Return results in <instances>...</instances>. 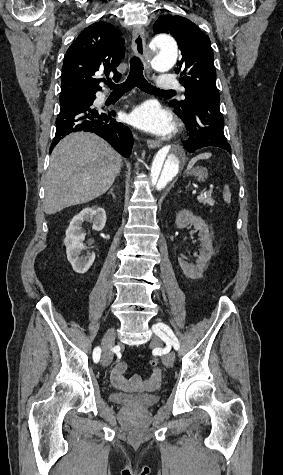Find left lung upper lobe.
I'll return each instance as SVG.
<instances>
[{"mask_svg":"<svg viewBox=\"0 0 283 475\" xmlns=\"http://www.w3.org/2000/svg\"><path fill=\"white\" fill-rule=\"evenodd\" d=\"M153 31L156 34H171L181 50L182 58L177 62L175 72H181L182 78L179 81L186 89L185 100H172L170 106L187 111L196 96L219 97L209 37L196 24L178 15L160 16L153 26Z\"/></svg>","mask_w":283,"mask_h":475,"instance_id":"left-lung-upper-lobe-1","label":"left lung upper lobe"}]
</instances>
